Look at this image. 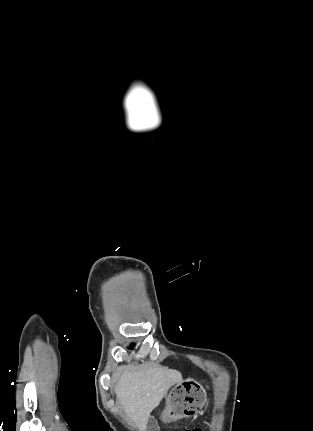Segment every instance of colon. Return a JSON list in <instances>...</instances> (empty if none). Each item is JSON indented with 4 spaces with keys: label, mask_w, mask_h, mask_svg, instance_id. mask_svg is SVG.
I'll return each instance as SVG.
<instances>
[{
    "label": "colon",
    "mask_w": 313,
    "mask_h": 431,
    "mask_svg": "<svg viewBox=\"0 0 313 431\" xmlns=\"http://www.w3.org/2000/svg\"><path fill=\"white\" fill-rule=\"evenodd\" d=\"M186 431H202V430H201V429H199V428H194V429L186 430Z\"/></svg>",
    "instance_id": "1"
}]
</instances>
